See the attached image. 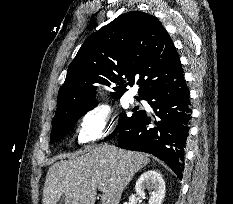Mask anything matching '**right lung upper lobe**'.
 I'll use <instances>...</instances> for the list:
<instances>
[{"instance_id": "right-lung-upper-lobe-1", "label": "right lung upper lobe", "mask_w": 233, "mask_h": 204, "mask_svg": "<svg viewBox=\"0 0 233 204\" xmlns=\"http://www.w3.org/2000/svg\"><path fill=\"white\" fill-rule=\"evenodd\" d=\"M180 62L172 39L160 21L147 13L131 11L118 16L89 36L70 63L58 92L52 122L96 106L94 83L114 85L115 98L137 85L143 97L150 86Z\"/></svg>"}]
</instances>
